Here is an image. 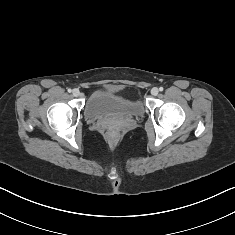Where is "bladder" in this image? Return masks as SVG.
Here are the masks:
<instances>
[{
  "instance_id": "bladder-1",
  "label": "bladder",
  "mask_w": 235,
  "mask_h": 235,
  "mask_svg": "<svg viewBox=\"0 0 235 235\" xmlns=\"http://www.w3.org/2000/svg\"><path fill=\"white\" fill-rule=\"evenodd\" d=\"M143 114L142 102L120 94L114 86L95 90L85 105L88 119L137 117Z\"/></svg>"
}]
</instances>
